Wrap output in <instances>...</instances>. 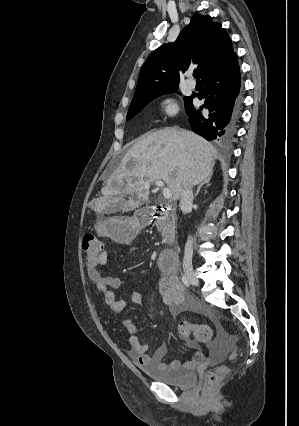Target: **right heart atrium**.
Returning a JSON list of instances; mask_svg holds the SVG:
<instances>
[{
    "label": "right heart atrium",
    "instance_id": "1",
    "mask_svg": "<svg viewBox=\"0 0 299 426\" xmlns=\"http://www.w3.org/2000/svg\"><path fill=\"white\" fill-rule=\"evenodd\" d=\"M159 113L165 117H173L178 113V104L171 96H164L158 103Z\"/></svg>",
    "mask_w": 299,
    "mask_h": 426
}]
</instances>
